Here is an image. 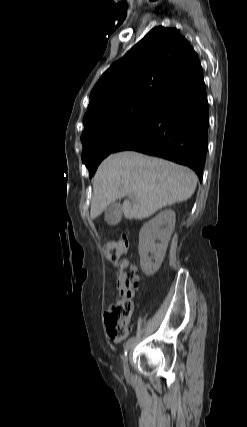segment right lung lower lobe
<instances>
[{
  "mask_svg": "<svg viewBox=\"0 0 247 427\" xmlns=\"http://www.w3.org/2000/svg\"><path fill=\"white\" fill-rule=\"evenodd\" d=\"M208 126V101L201 75L169 94L143 128L116 152L133 150L186 165L202 181Z\"/></svg>",
  "mask_w": 247,
  "mask_h": 427,
  "instance_id": "right-lung-lower-lobe-1",
  "label": "right lung lower lobe"
}]
</instances>
